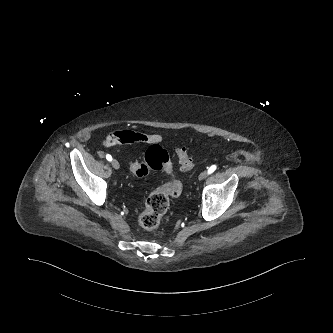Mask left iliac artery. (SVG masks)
Listing matches in <instances>:
<instances>
[{
	"instance_id": "obj_1",
	"label": "left iliac artery",
	"mask_w": 333,
	"mask_h": 333,
	"mask_svg": "<svg viewBox=\"0 0 333 333\" xmlns=\"http://www.w3.org/2000/svg\"><path fill=\"white\" fill-rule=\"evenodd\" d=\"M217 166L216 165H212L210 168H208V174L213 173L216 170Z\"/></svg>"
}]
</instances>
